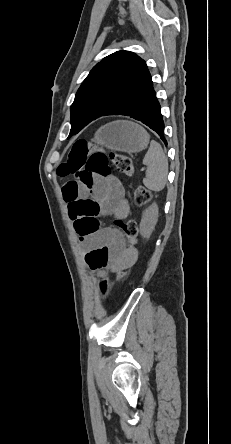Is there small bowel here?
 Wrapping results in <instances>:
<instances>
[{"label": "small bowel", "instance_id": "1", "mask_svg": "<svg viewBox=\"0 0 231 444\" xmlns=\"http://www.w3.org/2000/svg\"><path fill=\"white\" fill-rule=\"evenodd\" d=\"M62 192L72 220L71 206L85 199L93 200L97 204V214L113 217L116 225L129 214L130 207L124 188L115 177L98 176L93 184L87 187L69 181L64 185ZM80 240L85 246V260L88 266L102 274L126 269L137 260V250L126 249L122 235L114 229L103 228L91 236H80Z\"/></svg>", "mask_w": 231, "mask_h": 444}]
</instances>
